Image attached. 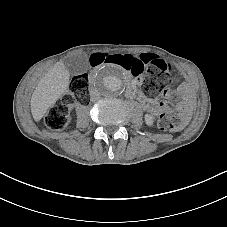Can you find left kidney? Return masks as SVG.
<instances>
[{
    "instance_id": "1",
    "label": "left kidney",
    "mask_w": 227,
    "mask_h": 227,
    "mask_svg": "<svg viewBox=\"0 0 227 227\" xmlns=\"http://www.w3.org/2000/svg\"><path fill=\"white\" fill-rule=\"evenodd\" d=\"M146 122H147L148 124H151V123H152V117L149 116V115H147V116H146Z\"/></svg>"
}]
</instances>
